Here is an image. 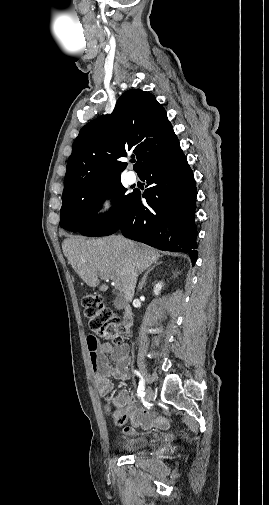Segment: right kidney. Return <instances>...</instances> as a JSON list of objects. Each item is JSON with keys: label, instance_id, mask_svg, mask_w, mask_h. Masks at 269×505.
<instances>
[{"label": "right kidney", "instance_id": "ca27d5eb", "mask_svg": "<svg viewBox=\"0 0 269 505\" xmlns=\"http://www.w3.org/2000/svg\"><path fill=\"white\" fill-rule=\"evenodd\" d=\"M162 287H163V283H162V282L157 283V284L155 285V287H154V294H155V295H159V293H160V291H161Z\"/></svg>", "mask_w": 269, "mask_h": 505}]
</instances>
